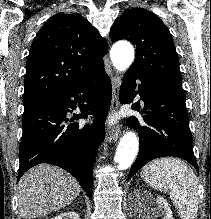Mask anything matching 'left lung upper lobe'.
Wrapping results in <instances>:
<instances>
[{
	"instance_id": "left-lung-upper-lobe-1",
	"label": "left lung upper lobe",
	"mask_w": 211,
	"mask_h": 219,
	"mask_svg": "<svg viewBox=\"0 0 211 219\" xmlns=\"http://www.w3.org/2000/svg\"><path fill=\"white\" fill-rule=\"evenodd\" d=\"M110 38L113 42L126 39L136 46L135 61L128 70L182 80L172 36L154 13L142 8L125 9L113 23Z\"/></svg>"
}]
</instances>
